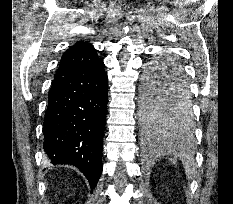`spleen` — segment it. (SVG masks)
<instances>
[{"mask_svg": "<svg viewBox=\"0 0 233 204\" xmlns=\"http://www.w3.org/2000/svg\"><path fill=\"white\" fill-rule=\"evenodd\" d=\"M167 147L169 148L170 153L173 152L180 158L185 169L187 179L192 180L196 171L195 160L187 147H174L171 149L172 144L167 145Z\"/></svg>", "mask_w": 233, "mask_h": 204, "instance_id": "obj_1", "label": "spleen"}]
</instances>
